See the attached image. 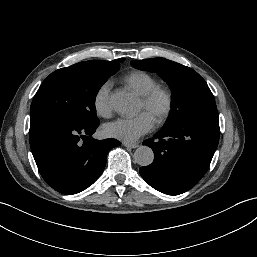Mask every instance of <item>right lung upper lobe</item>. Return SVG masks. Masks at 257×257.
Returning <instances> with one entry per match:
<instances>
[{
	"label": "right lung upper lobe",
	"instance_id": "obj_1",
	"mask_svg": "<svg viewBox=\"0 0 257 257\" xmlns=\"http://www.w3.org/2000/svg\"><path fill=\"white\" fill-rule=\"evenodd\" d=\"M122 61H124V59H116L114 61L90 60V61H86V62H88L90 64H93V65H96L100 68H104V67L116 64L118 62L121 63Z\"/></svg>",
	"mask_w": 257,
	"mask_h": 257
}]
</instances>
